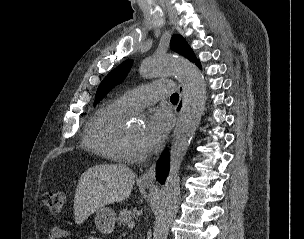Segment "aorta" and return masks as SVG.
<instances>
[{"instance_id":"obj_1","label":"aorta","mask_w":304,"mask_h":239,"mask_svg":"<svg viewBox=\"0 0 304 239\" xmlns=\"http://www.w3.org/2000/svg\"><path fill=\"white\" fill-rule=\"evenodd\" d=\"M146 78L177 77L184 88L182 108L173 133L170 171L164 184L154 223L153 239H167L180 200L181 163L200 123L206 102V84L201 71L189 60L173 55H155L141 66Z\"/></svg>"}]
</instances>
